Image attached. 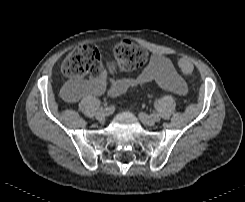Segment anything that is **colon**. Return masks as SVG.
Masks as SVG:
<instances>
[{
    "instance_id": "1",
    "label": "colon",
    "mask_w": 245,
    "mask_h": 202,
    "mask_svg": "<svg viewBox=\"0 0 245 202\" xmlns=\"http://www.w3.org/2000/svg\"><path fill=\"white\" fill-rule=\"evenodd\" d=\"M148 61V53L130 40H120L115 45V63L110 64L109 72L115 70L133 71L143 67ZM101 55L97 48L85 43L75 48L61 64V71L66 80L62 95L68 99L76 81L82 77H95L100 71ZM193 70L191 62L182 65L181 71L190 74Z\"/></svg>"
}]
</instances>
